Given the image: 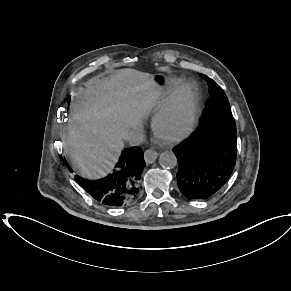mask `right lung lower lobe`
<instances>
[{"label": "right lung lower lobe", "instance_id": "right-lung-lower-lobe-1", "mask_svg": "<svg viewBox=\"0 0 291 291\" xmlns=\"http://www.w3.org/2000/svg\"><path fill=\"white\" fill-rule=\"evenodd\" d=\"M145 166L141 148L131 147L122 151L112 173L105 178L90 181L76 176L75 180L100 204L120 207L130 204L137 197L139 180Z\"/></svg>", "mask_w": 291, "mask_h": 291}]
</instances>
